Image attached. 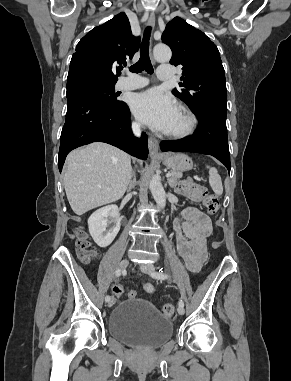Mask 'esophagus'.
Returning a JSON list of instances; mask_svg holds the SVG:
<instances>
[{"label":"esophagus","mask_w":291,"mask_h":381,"mask_svg":"<svg viewBox=\"0 0 291 381\" xmlns=\"http://www.w3.org/2000/svg\"><path fill=\"white\" fill-rule=\"evenodd\" d=\"M154 25H155V14L150 13L147 19V26L152 28L154 27ZM152 62L155 63V60L153 58H152ZM148 147H149V152L151 155H158L159 142L156 138L149 137Z\"/></svg>","instance_id":"obj_1"}]
</instances>
